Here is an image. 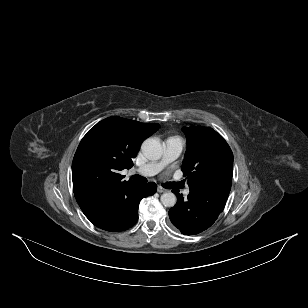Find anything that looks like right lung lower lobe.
Segmentation results:
<instances>
[{"mask_svg": "<svg viewBox=\"0 0 308 308\" xmlns=\"http://www.w3.org/2000/svg\"><path fill=\"white\" fill-rule=\"evenodd\" d=\"M156 188V184L152 182L136 185L113 209L86 217L92 224L106 231L126 230L138 220V205L141 199L153 195Z\"/></svg>", "mask_w": 308, "mask_h": 308, "instance_id": "98d812e1", "label": "right lung lower lobe"}]
</instances>
